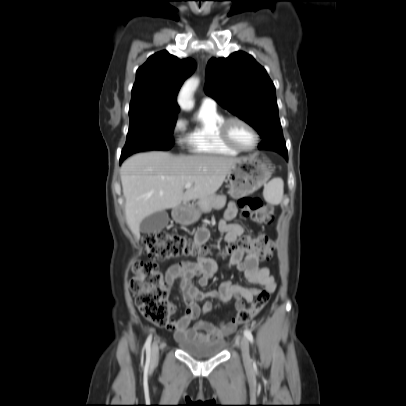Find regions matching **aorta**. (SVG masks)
<instances>
[{
	"label": "aorta",
	"mask_w": 406,
	"mask_h": 406,
	"mask_svg": "<svg viewBox=\"0 0 406 406\" xmlns=\"http://www.w3.org/2000/svg\"><path fill=\"white\" fill-rule=\"evenodd\" d=\"M199 79L191 77L185 81L178 95V104L181 109L189 111L194 107L193 94L198 87Z\"/></svg>",
	"instance_id": "1"
}]
</instances>
